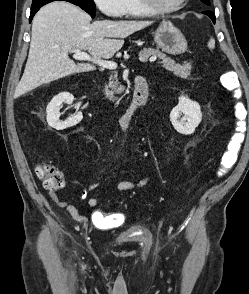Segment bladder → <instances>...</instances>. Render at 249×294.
<instances>
[{"mask_svg": "<svg viewBox=\"0 0 249 294\" xmlns=\"http://www.w3.org/2000/svg\"><path fill=\"white\" fill-rule=\"evenodd\" d=\"M149 239L150 232L141 226H134L118 237V241L122 244L139 243Z\"/></svg>", "mask_w": 249, "mask_h": 294, "instance_id": "1", "label": "bladder"}]
</instances>
